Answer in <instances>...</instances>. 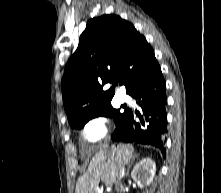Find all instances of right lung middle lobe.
<instances>
[{
    "mask_svg": "<svg viewBox=\"0 0 221 193\" xmlns=\"http://www.w3.org/2000/svg\"><path fill=\"white\" fill-rule=\"evenodd\" d=\"M127 113H128V109L121 111L120 109H114L111 106V104H109L101 109L79 116L78 118H76L74 121L71 122V126L73 128L80 129L85 125V123H87L92 118L99 117V116L112 117L114 118V121L116 123V130L114 133L116 134L117 131L123 125L126 119Z\"/></svg>",
    "mask_w": 221,
    "mask_h": 193,
    "instance_id": "dd1d6c3e",
    "label": "right lung middle lobe"
}]
</instances>
